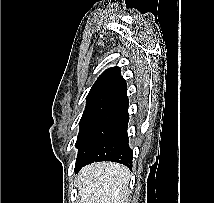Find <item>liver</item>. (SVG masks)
<instances>
[{
	"instance_id": "obj_1",
	"label": "liver",
	"mask_w": 214,
	"mask_h": 203,
	"mask_svg": "<svg viewBox=\"0 0 214 203\" xmlns=\"http://www.w3.org/2000/svg\"><path fill=\"white\" fill-rule=\"evenodd\" d=\"M130 171L124 165L98 162L82 168L77 187L82 203H125Z\"/></svg>"
}]
</instances>
